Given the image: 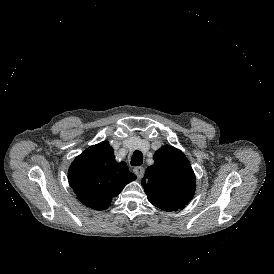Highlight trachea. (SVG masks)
Instances as JSON below:
<instances>
[{
    "label": "trachea",
    "instance_id": "1",
    "mask_svg": "<svg viewBox=\"0 0 274 274\" xmlns=\"http://www.w3.org/2000/svg\"><path fill=\"white\" fill-rule=\"evenodd\" d=\"M132 166H139L143 163V154L139 150H135L130 161Z\"/></svg>",
    "mask_w": 274,
    "mask_h": 274
}]
</instances>
